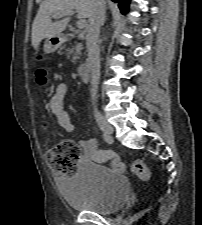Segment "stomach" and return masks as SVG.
<instances>
[{"mask_svg":"<svg viewBox=\"0 0 202 225\" xmlns=\"http://www.w3.org/2000/svg\"><path fill=\"white\" fill-rule=\"evenodd\" d=\"M56 49V46L52 44L51 42V38L47 39L45 45H44V50L47 52V53H50L52 52L53 50Z\"/></svg>","mask_w":202,"mask_h":225,"instance_id":"obj_1","label":"stomach"}]
</instances>
